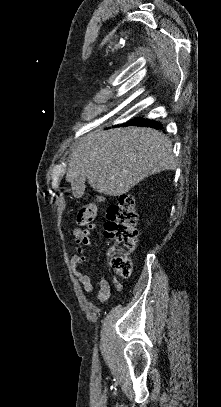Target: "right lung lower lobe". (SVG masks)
<instances>
[{"instance_id": "obj_1", "label": "right lung lower lobe", "mask_w": 221, "mask_h": 407, "mask_svg": "<svg viewBox=\"0 0 221 407\" xmlns=\"http://www.w3.org/2000/svg\"><path fill=\"white\" fill-rule=\"evenodd\" d=\"M126 126H130V125H136V126H148V127H152L155 129H160L161 128V124L159 122H153L149 119H143L142 117H138V118H134L131 121L127 122L126 124H124Z\"/></svg>"}]
</instances>
